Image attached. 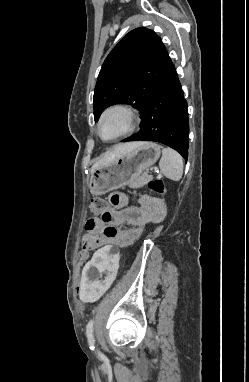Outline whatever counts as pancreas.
<instances>
[{"label":"pancreas","instance_id":"pancreas-1","mask_svg":"<svg viewBox=\"0 0 249 382\" xmlns=\"http://www.w3.org/2000/svg\"><path fill=\"white\" fill-rule=\"evenodd\" d=\"M152 177L144 174L142 176L136 177V178H131L128 181V186L130 188H141L144 185H146L149 181H151Z\"/></svg>","mask_w":249,"mask_h":382}]
</instances>
